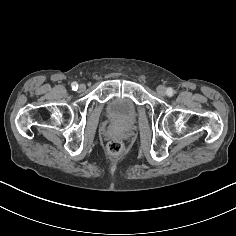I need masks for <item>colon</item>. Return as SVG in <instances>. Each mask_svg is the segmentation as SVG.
Returning a JSON list of instances; mask_svg holds the SVG:
<instances>
[{
  "label": "colon",
  "mask_w": 236,
  "mask_h": 236,
  "mask_svg": "<svg viewBox=\"0 0 236 236\" xmlns=\"http://www.w3.org/2000/svg\"><path fill=\"white\" fill-rule=\"evenodd\" d=\"M123 148H124V145H123L122 141H120L118 139H114V140L110 141L108 144V150L110 151V153H112L114 155H118V154L122 153Z\"/></svg>",
  "instance_id": "1"
}]
</instances>
